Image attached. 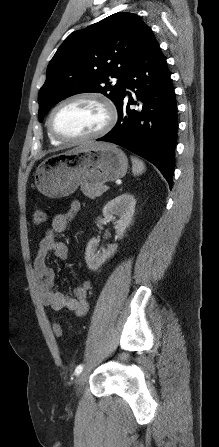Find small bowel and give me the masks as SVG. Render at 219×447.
Returning a JSON list of instances; mask_svg holds the SVG:
<instances>
[{
  "mask_svg": "<svg viewBox=\"0 0 219 447\" xmlns=\"http://www.w3.org/2000/svg\"><path fill=\"white\" fill-rule=\"evenodd\" d=\"M81 204L74 200L65 212L56 214L39 242L33 262V277L36 293L40 302L52 310H68L77 316H83L88 310V292L92 286L90 280H85L73 290V296H68L54 289L55 272L48 266L47 257L50 252L60 260H66L69 249L66 244L57 240V235L66 230L70 221L80 210Z\"/></svg>",
  "mask_w": 219,
  "mask_h": 447,
  "instance_id": "small-bowel-1",
  "label": "small bowel"
}]
</instances>
